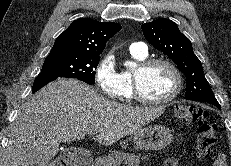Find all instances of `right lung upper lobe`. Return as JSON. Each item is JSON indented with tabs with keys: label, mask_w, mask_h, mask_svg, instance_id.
<instances>
[{
	"label": "right lung upper lobe",
	"mask_w": 231,
	"mask_h": 166,
	"mask_svg": "<svg viewBox=\"0 0 231 166\" xmlns=\"http://www.w3.org/2000/svg\"><path fill=\"white\" fill-rule=\"evenodd\" d=\"M120 30L121 25L117 23L80 18L57 37L51 51L69 50L100 55L106 42Z\"/></svg>",
	"instance_id": "obj_1"
}]
</instances>
